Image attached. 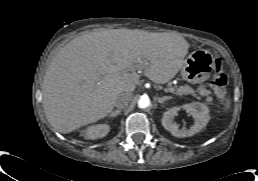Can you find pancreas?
Returning a JSON list of instances; mask_svg holds the SVG:
<instances>
[{"instance_id":"pancreas-1","label":"pancreas","mask_w":258,"mask_h":181,"mask_svg":"<svg viewBox=\"0 0 258 181\" xmlns=\"http://www.w3.org/2000/svg\"><path fill=\"white\" fill-rule=\"evenodd\" d=\"M173 89H174L173 93L176 95H191L193 97L200 99V97L197 96V94L195 93V90L191 86L184 85L176 88L173 87Z\"/></svg>"}]
</instances>
